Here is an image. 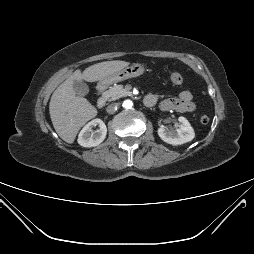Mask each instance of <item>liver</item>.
<instances>
[{"label": "liver", "mask_w": 254, "mask_h": 254, "mask_svg": "<svg viewBox=\"0 0 254 254\" xmlns=\"http://www.w3.org/2000/svg\"><path fill=\"white\" fill-rule=\"evenodd\" d=\"M126 61H105L76 70L53 93L49 112L57 134L67 143H73L80 128L97 115V109L84 97L76 96L74 81H100L127 67Z\"/></svg>", "instance_id": "obj_1"}]
</instances>
